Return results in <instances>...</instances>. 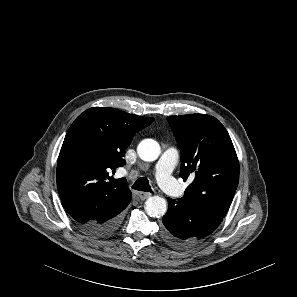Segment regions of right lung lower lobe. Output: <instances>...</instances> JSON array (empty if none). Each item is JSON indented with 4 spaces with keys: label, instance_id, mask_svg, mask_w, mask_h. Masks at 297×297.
<instances>
[{
    "label": "right lung lower lobe",
    "instance_id": "98d812e1",
    "mask_svg": "<svg viewBox=\"0 0 297 297\" xmlns=\"http://www.w3.org/2000/svg\"><path fill=\"white\" fill-rule=\"evenodd\" d=\"M125 208L109 212L86 224L78 225L82 231L89 234L90 236L100 238L107 237L119 228L122 220V211Z\"/></svg>",
    "mask_w": 297,
    "mask_h": 297
}]
</instances>
